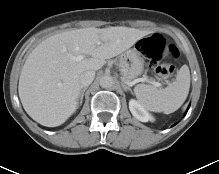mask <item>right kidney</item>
Segmentation results:
<instances>
[{"label": "right kidney", "mask_w": 219, "mask_h": 174, "mask_svg": "<svg viewBox=\"0 0 219 174\" xmlns=\"http://www.w3.org/2000/svg\"><path fill=\"white\" fill-rule=\"evenodd\" d=\"M75 109H76V106L74 107L73 112H74ZM73 112H72V113H73Z\"/></svg>", "instance_id": "1"}]
</instances>
